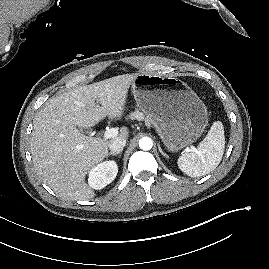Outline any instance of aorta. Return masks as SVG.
<instances>
[{
    "label": "aorta",
    "instance_id": "762f6f07",
    "mask_svg": "<svg viewBox=\"0 0 269 269\" xmlns=\"http://www.w3.org/2000/svg\"><path fill=\"white\" fill-rule=\"evenodd\" d=\"M153 146V141L149 137H143L139 140V147L142 150L148 151L152 148Z\"/></svg>",
    "mask_w": 269,
    "mask_h": 269
}]
</instances>
